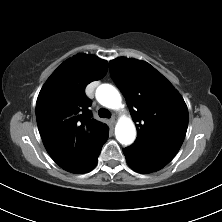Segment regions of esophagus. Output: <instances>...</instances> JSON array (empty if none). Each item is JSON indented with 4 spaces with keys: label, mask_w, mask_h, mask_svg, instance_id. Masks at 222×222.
I'll return each mask as SVG.
<instances>
[{
    "label": "esophagus",
    "mask_w": 222,
    "mask_h": 222,
    "mask_svg": "<svg viewBox=\"0 0 222 222\" xmlns=\"http://www.w3.org/2000/svg\"><path fill=\"white\" fill-rule=\"evenodd\" d=\"M110 120H111L112 123H116L117 118L115 116H112Z\"/></svg>",
    "instance_id": "obj_1"
}]
</instances>
